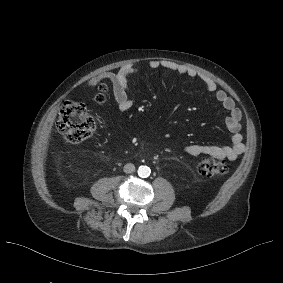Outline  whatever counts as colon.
Instances as JSON below:
<instances>
[{"label":"colon","instance_id":"1","mask_svg":"<svg viewBox=\"0 0 283 283\" xmlns=\"http://www.w3.org/2000/svg\"><path fill=\"white\" fill-rule=\"evenodd\" d=\"M107 85L101 84L95 96L96 101L102 104L106 100ZM57 129L69 143H79L91 136L94 130V121L86 112L83 104L75 101H65L59 112ZM197 171L207 177H218L227 173L228 168L224 161L204 158L196 165Z\"/></svg>","mask_w":283,"mask_h":283}]
</instances>
